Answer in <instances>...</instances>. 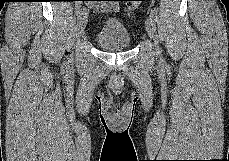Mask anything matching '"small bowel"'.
Returning a JSON list of instances; mask_svg holds the SVG:
<instances>
[{"instance_id":"1","label":"small bowel","mask_w":229,"mask_h":161,"mask_svg":"<svg viewBox=\"0 0 229 161\" xmlns=\"http://www.w3.org/2000/svg\"><path fill=\"white\" fill-rule=\"evenodd\" d=\"M117 1H104L103 2V9L106 12H111V11H115L118 9L117 6Z\"/></svg>"}]
</instances>
